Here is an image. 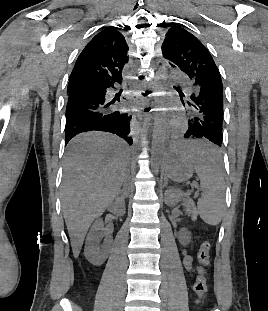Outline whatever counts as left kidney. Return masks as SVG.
Returning <instances> with one entry per match:
<instances>
[{"label":"left kidney","mask_w":268,"mask_h":311,"mask_svg":"<svg viewBox=\"0 0 268 311\" xmlns=\"http://www.w3.org/2000/svg\"><path fill=\"white\" fill-rule=\"evenodd\" d=\"M181 193L179 190L171 188L166 191L165 203L169 207L175 206L181 200ZM179 242L182 245H188L190 243L191 235L187 229H182L178 235Z\"/></svg>","instance_id":"left-kidney-1"}]
</instances>
